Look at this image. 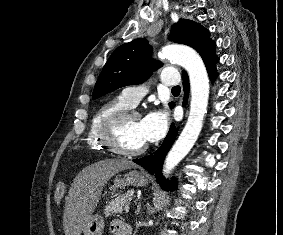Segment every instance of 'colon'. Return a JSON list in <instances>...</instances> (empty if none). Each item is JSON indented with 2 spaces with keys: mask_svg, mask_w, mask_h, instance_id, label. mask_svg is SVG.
Masks as SVG:
<instances>
[{
  "mask_svg": "<svg viewBox=\"0 0 283 235\" xmlns=\"http://www.w3.org/2000/svg\"><path fill=\"white\" fill-rule=\"evenodd\" d=\"M65 184L63 182H59L56 185L55 192H54V199L57 203H60L65 194Z\"/></svg>",
  "mask_w": 283,
  "mask_h": 235,
  "instance_id": "1",
  "label": "colon"
}]
</instances>
